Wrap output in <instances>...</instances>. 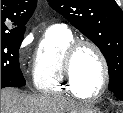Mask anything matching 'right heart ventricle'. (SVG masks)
Returning a JSON list of instances; mask_svg holds the SVG:
<instances>
[{
    "label": "right heart ventricle",
    "instance_id": "obj_1",
    "mask_svg": "<svg viewBox=\"0 0 123 113\" xmlns=\"http://www.w3.org/2000/svg\"><path fill=\"white\" fill-rule=\"evenodd\" d=\"M76 40L68 28L54 25L43 34L33 63V84L42 93L69 92L82 95L71 89L63 73V60L67 48Z\"/></svg>",
    "mask_w": 123,
    "mask_h": 113
}]
</instances>
